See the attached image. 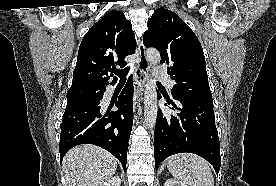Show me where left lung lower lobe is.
Returning a JSON list of instances; mask_svg holds the SVG:
<instances>
[{
	"label": "left lung lower lobe",
	"mask_w": 276,
	"mask_h": 186,
	"mask_svg": "<svg viewBox=\"0 0 276 186\" xmlns=\"http://www.w3.org/2000/svg\"><path fill=\"white\" fill-rule=\"evenodd\" d=\"M158 98L161 95L158 93ZM165 106L175 113L158 110L154 135L155 165L168 156L189 152L210 162L218 174L221 166L220 143L215 126L213 99H176L165 97Z\"/></svg>",
	"instance_id": "0a47b994"
}]
</instances>
